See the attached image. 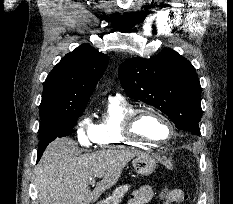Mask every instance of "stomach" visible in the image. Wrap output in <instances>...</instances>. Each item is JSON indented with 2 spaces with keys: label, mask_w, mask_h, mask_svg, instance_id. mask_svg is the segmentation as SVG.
<instances>
[{
  "label": "stomach",
  "mask_w": 233,
  "mask_h": 204,
  "mask_svg": "<svg viewBox=\"0 0 233 204\" xmlns=\"http://www.w3.org/2000/svg\"><path fill=\"white\" fill-rule=\"evenodd\" d=\"M132 164L136 173L143 176L150 175L156 168L155 159L144 153L136 156ZM100 204H107V202H102Z\"/></svg>",
  "instance_id": "1"
}]
</instances>
